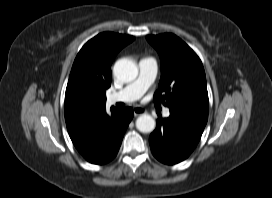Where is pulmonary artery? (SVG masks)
Instances as JSON below:
<instances>
[{"label": "pulmonary artery", "mask_w": 272, "mask_h": 198, "mask_svg": "<svg viewBox=\"0 0 272 198\" xmlns=\"http://www.w3.org/2000/svg\"><path fill=\"white\" fill-rule=\"evenodd\" d=\"M140 75L139 77L125 86L118 92H114L107 97L110 104L117 102L130 103L138 100L149 86L154 82L157 74V62L152 57H146L139 61ZM170 111L164 109L163 115L168 117Z\"/></svg>", "instance_id": "e3ab8cb5"}]
</instances>
